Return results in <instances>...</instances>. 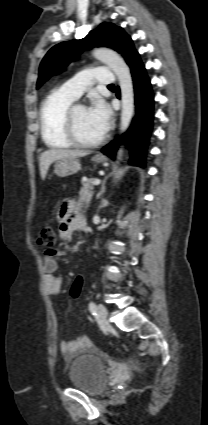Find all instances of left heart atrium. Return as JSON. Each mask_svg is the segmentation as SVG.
Returning a JSON list of instances; mask_svg holds the SVG:
<instances>
[{"mask_svg":"<svg viewBox=\"0 0 208 425\" xmlns=\"http://www.w3.org/2000/svg\"><path fill=\"white\" fill-rule=\"evenodd\" d=\"M88 113L98 131L104 135L110 125V110L107 104L102 99L96 98L88 108Z\"/></svg>","mask_w":208,"mask_h":425,"instance_id":"obj_1","label":"left heart atrium"}]
</instances>
